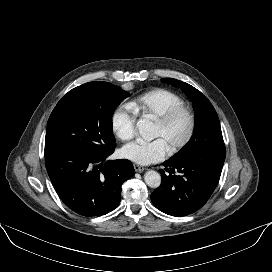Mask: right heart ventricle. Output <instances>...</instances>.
I'll list each match as a JSON object with an SVG mask.
<instances>
[{"mask_svg":"<svg viewBox=\"0 0 272 272\" xmlns=\"http://www.w3.org/2000/svg\"><path fill=\"white\" fill-rule=\"evenodd\" d=\"M183 105L184 101L180 96L170 90L158 88L137 97L130 107L137 115L157 119L168 110Z\"/></svg>","mask_w":272,"mask_h":272,"instance_id":"obj_1","label":"right heart ventricle"}]
</instances>
